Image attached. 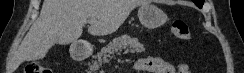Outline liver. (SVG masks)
Masks as SVG:
<instances>
[{
	"instance_id": "obj_1",
	"label": "liver",
	"mask_w": 244,
	"mask_h": 73,
	"mask_svg": "<svg viewBox=\"0 0 244 73\" xmlns=\"http://www.w3.org/2000/svg\"><path fill=\"white\" fill-rule=\"evenodd\" d=\"M144 0H44L39 18L23 39L14 60V68L24 61L42 59L55 44L76 41L89 19H95L88 32L108 35L124 23L131 11Z\"/></svg>"
}]
</instances>
